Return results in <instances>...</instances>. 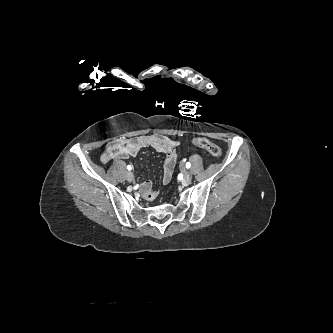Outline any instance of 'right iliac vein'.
<instances>
[{
	"instance_id": "1",
	"label": "right iliac vein",
	"mask_w": 333,
	"mask_h": 333,
	"mask_svg": "<svg viewBox=\"0 0 333 333\" xmlns=\"http://www.w3.org/2000/svg\"><path fill=\"white\" fill-rule=\"evenodd\" d=\"M126 178H127V180L129 181V182H131V181H133V179H134V175H133V173L132 172H127V174H126Z\"/></svg>"
}]
</instances>
